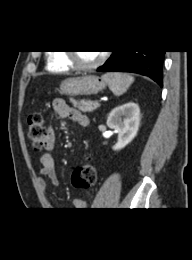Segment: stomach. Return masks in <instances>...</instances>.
Listing matches in <instances>:
<instances>
[{"instance_id": "obj_1", "label": "stomach", "mask_w": 192, "mask_h": 260, "mask_svg": "<svg viewBox=\"0 0 192 260\" xmlns=\"http://www.w3.org/2000/svg\"><path fill=\"white\" fill-rule=\"evenodd\" d=\"M106 82L95 75L67 78L60 84L59 91L68 96H88L102 91Z\"/></svg>"}]
</instances>
